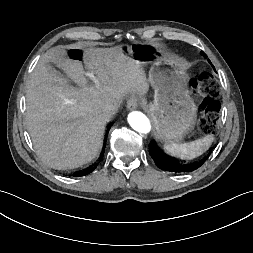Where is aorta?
<instances>
[{
    "mask_svg": "<svg viewBox=\"0 0 253 253\" xmlns=\"http://www.w3.org/2000/svg\"><path fill=\"white\" fill-rule=\"evenodd\" d=\"M128 123L139 133H149L151 130L150 120L145 114L139 111H133L128 115Z\"/></svg>",
    "mask_w": 253,
    "mask_h": 253,
    "instance_id": "aorta-1",
    "label": "aorta"
}]
</instances>
